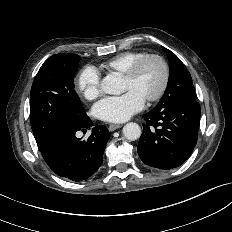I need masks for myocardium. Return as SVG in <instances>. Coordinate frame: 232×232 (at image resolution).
Listing matches in <instances>:
<instances>
[{
  "instance_id": "f54148a6",
  "label": "myocardium",
  "mask_w": 232,
  "mask_h": 232,
  "mask_svg": "<svg viewBox=\"0 0 232 232\" xmlns=\"http://www.w3.org/2000/svg\"><path fill=\"white\" fill-rule=\"evenodd\" d=\"M149 61L157 62L162 70V80L158 90L153 95H150L146 98L148 102H155L163 97L169 85L170 70L164 57L159 54H145L129 67V69L124 73V76L127 79H134L144 64Z\"/></svg>"
}]
</instances>
